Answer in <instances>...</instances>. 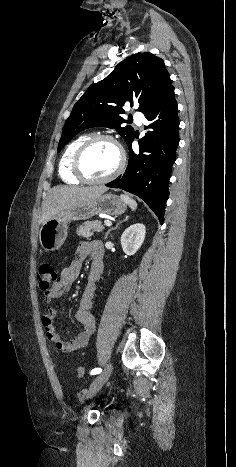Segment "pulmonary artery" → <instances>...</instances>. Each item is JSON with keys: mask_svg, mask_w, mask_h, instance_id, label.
Masks as SVG:
<instances>
[{"mask_svg": "<svg viewBox=\"0 0 236 467\" xmlns=\"http://www.w3.org/2000/svg\"><path fill=\"white\" fill-rule=\"evenodd\" d=\"M134 119L136 120V122H137L139 125H141V124L144 122L145 117H144V115H143L142 112L137 111V112H135V114H134Z\"/></svg>", "mask_w": 236, "mask_h": 467, "instance_id": "obj_1", "label": "pulmonary artery"}]
</instances>
